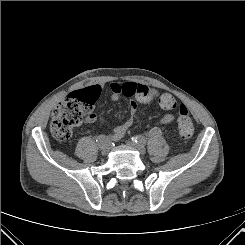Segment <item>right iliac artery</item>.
<instances>
[{
    "label": "right iliac artery",
    "mask_w": 245,
    "mask_h": 245,
    "mask_svg": "<svg viewBox=\"0 0 245 245\" xmlns=\"http://www.w3.org/2000/svg\"><path fill=\"white\" fill-rule=\"evenodd\" d=\"M96 142H97L98 146H99L100 148H102L103 146H106V145H107L108 140H107V138H106L104 135H100V136H98V138L96 139ZM107 146H108V145H107ZM105 149H106V148H105Z\"/></svg>",
    "instance_id": "right-iliac-artery-1"
}]
</instances>
